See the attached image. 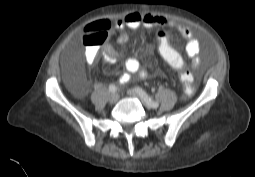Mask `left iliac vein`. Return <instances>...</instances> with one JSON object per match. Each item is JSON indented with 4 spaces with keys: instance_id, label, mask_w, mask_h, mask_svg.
Here are the masks:
<instances>
[{
    "instance_id": "left-iliac-vein-1",
    "label": "left iliac vein",
    "mask_w": 255,
    "mask_h": 177,
    "mask_svg": "<svg viewBox=\"0 0 255 177\" xmlns=\"http://www.w3.org/2000/svg\"><path fill=\"white\" fill-rule=\"evenodd\" d=\"M127 93L131 97L139 98L147 108H152V106L138 93V91L134 89H129Z\"/></svg>"
}]
</instances>
